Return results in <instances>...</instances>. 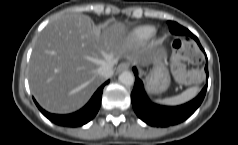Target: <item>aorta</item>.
I'll list each match as a JSON object with an SVG mask.
<instances>
[{
	"label": "aorta",
	"mask_w": 238,
	"mask_h": 145,
	"mask_svg": "<svg viewBox=\"0 0 238 145\" xmlns=\"http://www.w3.org/2000/svg\"><path fill=\"white\" fill-rule=\"evenodd\" d=\"M118 80L120 83L126 86H131L134 84V75L130 71H123L119 77Z\"/></svg>",
	"instance_id": "762f6f07"
}]
</instances>
